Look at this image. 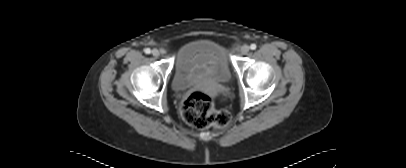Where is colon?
I'll list each match as a JSON object with an SVG mask.
<instances>
[{
  "mask_svg": "<svg viewBox=\"0 0 406 168\" xmlns=\"http://www.w3.org/2000/svg\"><path fill=\"white\" fill-rule=\"evenodd\" d=\"M181 114L188 124L200 129L226 127L231 123L230 113L215 110L213 97L203 91H194L185 98Z\"/></svg>",
  "mask_w": 406,
  "mask_h": 168,
  "instance_id": "colon-1",
  "label": "colon"
}]
</instances>
